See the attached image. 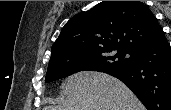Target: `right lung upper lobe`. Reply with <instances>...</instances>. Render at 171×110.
I'll use <instances>...</instances> for the list:
<instances>
[{
	"mask_svg": "<svg viewBox=\"0 0 171 110\" xmlns=\"http://www.w3.org/2000/svg\"><path fill=\"white\" fill-rule=\"evenodd\" d=\"M164 38L156 17L144 3L102 1L66 23L51 48V59L108 48L136 52Z\"/></svg>",
	"mask_w": 171,
	"mask_h": 110,
	"instance_id": "cb5924a9",
	"label": "right lung upper lobe"
}]
</instances>
